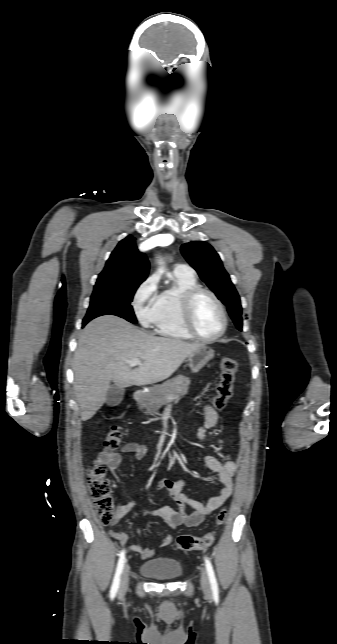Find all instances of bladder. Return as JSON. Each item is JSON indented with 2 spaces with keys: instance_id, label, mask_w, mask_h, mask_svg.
I'll use <instances>...</instances> for the list:
<instances>
[{
  "instance_id": "obj_1",
  "label": "bladder",
  "mask_w": 337,
  "mask_h": 644,
  "mask_svg": "<svg viewBox=\"0 0 337 644\" xmlns=\"http://www.w3.org/2000/svg\"><path fill=\"white\" fill-rule=\"evenodd\" d=\"M142 575L157 581H173L183 574L181 562L169 557H156L143 562L140 566Z\"/></svg>"
}]
</instances>
